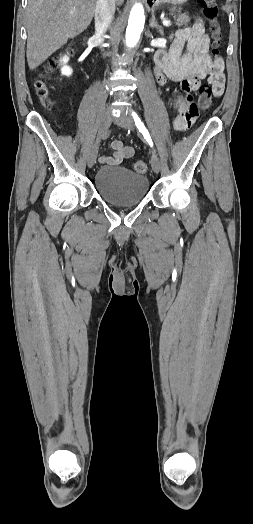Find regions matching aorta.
Masks as SVG:
<instances>
[{"instance_id": "1", "label": "aorta", "mask_w": 253, "mask_h": 524, "mask_svg": "<svg viewBox=\"0 0 253 524\" xmlns=\"http://www.w3.org/2000/svg\"><path fill=\"white\" fill-rule=\"evenodd\" d=\"M145 16L142 4L137 3L133 6L130 17L128 20V26L126 29V45L128 47H134L139 41L140 35L144 28Z\"/></svg>"}]
</instances>
